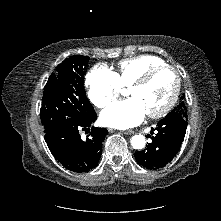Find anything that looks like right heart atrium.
Wrapping results in <instances>:
<instances>
[{"label": "right heart atrium", "mask_w": 221, "mask_h": 221, "mask_svg": "<svg viewBox=\"0 0 221 221\" xmlns=\"http://www.w3.org/2000/svg\"><path fill=\"white\" fill-rule=\"evenodd\" d=\"M86 86L90 101L98 108H104L116 100L122 85L114 72L102 65L94 66L86 75Z\"/></svg>", "instance_id": "right-heart-atrium-1"}]
</instances>
